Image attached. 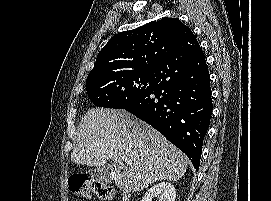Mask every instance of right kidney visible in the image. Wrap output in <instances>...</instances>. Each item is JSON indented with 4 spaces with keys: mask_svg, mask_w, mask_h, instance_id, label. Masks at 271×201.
Returning a JSON list of instances; mask_svg holds the SVG:
<instances>
[{
    "mask_svg": "<svg viewBox=\"0 0 271 201\" xmlns=\"http://www.w3.org/2000/svg\"><path fill=\"white\" fill-rule=\"evenodd\" d=\"M175 197L174 186L168 182H160L147 190L141 201H153L154 198L159 201H175Z\"/></svg>",
    "mask_w": 271,
    "mask_h": 201,
    "instance_id": "right-kidney-1",
    "label": "right kidney"
}]
</instances>
